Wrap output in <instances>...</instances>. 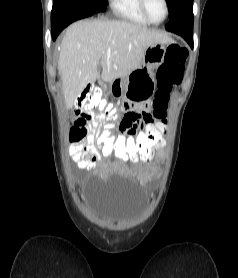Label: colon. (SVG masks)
<instances>
[{
  "label": "colon",
  "mask_w": 238,
  "mask_h": 278,
  "mask_svg": "<svg viewBox=\"0 0 238 278\" xmlns=\"http://www.w3.org/2000/svg\"><path fill=\"white\" fill-rule=\"evenodd\" d=\"M188 52L172 44L167 47L164 62L157 70V91L153 101L154 117L163 123L171 92L181 83ZM125 116L113 101L98 88H87L76 100L74 120L70 127V138L83 139L86 126L95 118H102L105 124L98 132L97 146L102 159H118L119 162H148L156 156L157 149H166L162 141L166 130H140L135 137H119L118 127ZM147 129H167V124H147ZM147 135V137H146Z\"/></svg>",
  "instance_id": "1"
}]
</instances>
